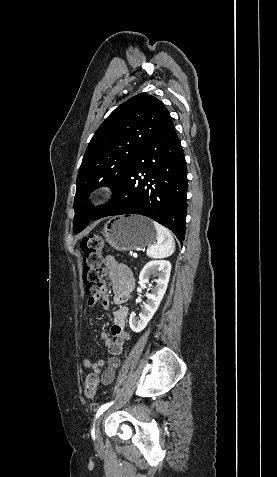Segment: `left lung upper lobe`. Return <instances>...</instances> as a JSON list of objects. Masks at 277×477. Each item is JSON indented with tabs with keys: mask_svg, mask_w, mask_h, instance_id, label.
I'll use <instances>...</instances> for the list:
<instances>
[{
	"mask_svg": "<svg viewBox=\"0 0 277 477\" xmlns=\"http://www.w3.org/2000/svg\"><path fill=\"white\" fill-rule=\"evenodd\" d=\"M164 104L146 93L138 94L119 107L100 125L83 157L76 180L73 231H82L102 208L86 201L99 186L115 190L142 148L169 122Z\"/></svg>",
	"mask_w": 277,
	"mask_h": 477,
	"instance_id": "left-lung-upper-lobe-1",
	"label": "left lung upper lobe"
}]
</instances>
